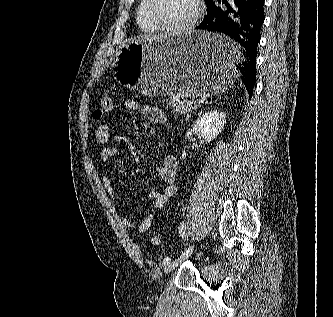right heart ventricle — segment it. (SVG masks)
Returning a JSON list of instances; mask_svg holds the SVG:
<instances>
[{"label":"right heart ventricle","mask_w":333,"mask_h":317,"mask_svg":"<svg viewBox=\"0 0 333 317\" xmlns=\"http://www.w3.org/2000/svg\"><path fill=\"white\" fill-rule=\"evenodd\" d=\"M145 0H140L137 12H136V21L141 32L146 34H153L158 32L159 30L154 27L151 22L148 20L145 13Z\"/></svg>","instance_id":"right-heart-ventricle-1"}]
</instances>
